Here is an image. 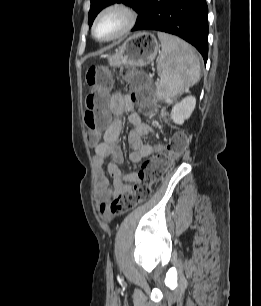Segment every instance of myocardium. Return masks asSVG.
Segmentation results:
<instances>
[{
    "instance_id": "myocardium-1",
    "label": "myocardium",
    "mask_w": 261,
    "mask_h": 306,
    "mask_svg": "<svg viewBox=\"0 0 261 306\" xmlns=\"http://www.w3.org/2000/svg\"><path fill=\"white\" fill-rule=\"evenodd\" d=\"M111 12H119L124 15L125 23L123 28L116 34L107 37V38H98L96 35V30L100 21L105 17L107 14ZM138 19L137 11L128 3L125 2H113L105 6L96 16L94 19L91 33L95 40L99 42H110L116 39L123 37L124 35L128 34L136 25Z\"/></svg>"
}]
</instances>
